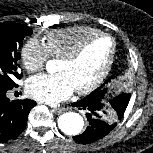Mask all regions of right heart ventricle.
<instances>
[{
    "label": "right heart ventricle",
    "instance_id": "obj_1",
    "mask_svg": "<svg viewBox=\"0 0 153 153\" xmlns=\"http://www.w3.org/2000/svg\"><path fill=\"white\" fill-rule=\"evenodd\" d=\"M91 26H71L49 31L45 36V45L49 53L61 58L71 52L85 38L100 33Z\"/></svg>",
    "mask_w": 153,
    "mask_h": 153
}]
</instances>
